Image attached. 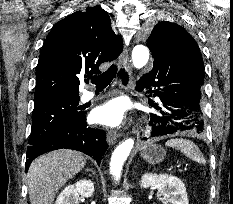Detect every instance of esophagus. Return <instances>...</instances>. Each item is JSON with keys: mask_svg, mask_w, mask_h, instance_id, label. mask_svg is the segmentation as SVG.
<instances>
[{"mask_svg": "<svg viewBox=\"0 0 233 204\" xmlns=\"http://www.w3.org/2000/svg\"><path fill=\"white\" fill-rule=\"evenodd\" d=\"M121 66L126 70L128 74H131L132 67L128 56V49L125 47L121 55ZM119 134L116 131H109L107 133V142L109 145L113 144L118 138Z\"/></svg>", "mask_w": 233, "mask_h": 204, "instance_id": "obj_1", "label": "esophagus"}]
</instances>
